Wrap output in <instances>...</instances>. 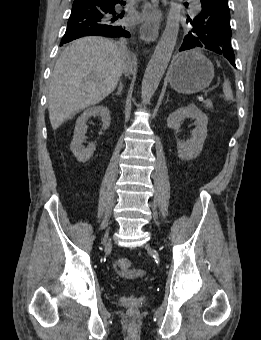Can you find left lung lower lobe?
<instances>
[{
  "instance_id": "left-lung-lower-lobe-1",
  "label": "left lung lower lobe",
  "mask_w": 261,
  "mask_h": 340,
  "mask_svg": "<svg viewBox=\"0 0 261 340\" xmlns=\"http://www.w3.org/2000/svg\"><path fill=\"white\" fill-rule=\"evenodd\" d=\"M230 19V11L228 7V0H200V14L192 22L204 25L212 20ZM202 42L195 36L187 35L181 45L180 51L200 47ZM207 49V48H206ZM224 57L235 67V55L232 50L227 51Z\"/></svg>"
}]
</instances>
